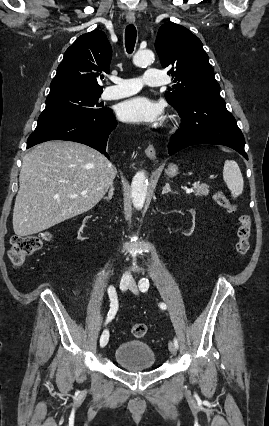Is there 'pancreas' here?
<instances>
[{"label": "pancreas", "instance_id": "cf45deb5", "mask_svg": "<svg viewBox=\"0 0 269 426\" xmlns=\"http://www.w3.org/2000/svg\"><path fill=\"white\" fill-rule=\"evenodd\" d=\"M193 189L195 196H207L209 194V189L206 184L196 183L193 185Z\"/></svg>", "mask_w": 269, "mask_h": 426}]
</instances>
